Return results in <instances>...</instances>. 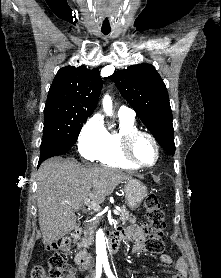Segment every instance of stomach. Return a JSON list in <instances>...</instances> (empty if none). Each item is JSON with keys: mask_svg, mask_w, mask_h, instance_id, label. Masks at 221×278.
Wrapping results in <instances>:
<instances>
[{"mask_svg": "<svg viewBox=\"0 0 221 278\" xmlns=\"http://www.w3.org/2000/svg\"><path fill=\"white\" fill-rule=\"evenodd\" d=\"M124 190L127 206L132 210L138 208L147 195V187L132 178L125 180Z\"/></svg>", "mask_w": 221, "mask_h": 278, "instance_id": "stomach-1", "label": "stomach"}]
</instances>
